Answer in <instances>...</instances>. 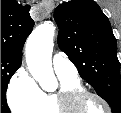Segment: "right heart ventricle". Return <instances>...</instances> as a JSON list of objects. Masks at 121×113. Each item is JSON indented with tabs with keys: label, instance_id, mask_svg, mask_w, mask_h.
<instances>
[{
	"label": "right heart ventricle",
	"instance_id": "1",
	"mask_svg": "<svg viewBox=\"0 0 121 113\" xmlns=\"http://www.w3.org/2000/svg\"><path fill=\"white\" fill-rule=\"evenodd\" d=\"M57 76L60 82L58 92L41 91L38 102L29 109L20 110L19 113H59L58 110H68L67 105H59L58 93L83 88L76 76Z\"/></svg>",
	"mask_w": 121,
	"mask_h": 113
}]
</instances>
